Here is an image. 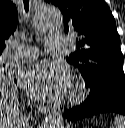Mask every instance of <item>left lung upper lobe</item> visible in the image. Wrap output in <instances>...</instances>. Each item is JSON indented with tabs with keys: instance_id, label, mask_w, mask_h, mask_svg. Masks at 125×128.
Returning a JSON list of instances; mask_svg holds the SVG:
<instances>
[{
	"instance_id": "obj_1",
	"label": "left lung upper lobe",
	"mask_w": 125,
	"mask_h": 128,
	"mask_svg": "<svg viewBox=\"0 0 125 128\" xmlns=\"http://www.w3.org/2000/svg\"><path fill=\"white\" fill-rule=\"evenodd\" d=\"M63 13L65 32H76L77 50L66 60L78 68L93 98L125 79L115 19L104 0H45Z\"/></svg>"
}]
</instances>
